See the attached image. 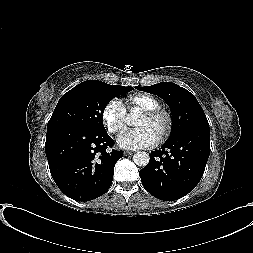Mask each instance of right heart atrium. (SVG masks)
<instances>
[{
  "instance_id": "obj_1",
  "label": "right heart atrium",
  "mask_w": 253,
  "mask_h": 253,
  "mask_svg": "<svg viewBox=\"0 0 253 253\" xmlns=\"http://www.w3.org/2000/svg\"><path fill=\"white\" fill-rule=\"evenodd\" d=\"M102 122L108 132L121 134L127 127V112L123 103L117 99H111L103 108Z\"/></svg>"
}]
</instances>
